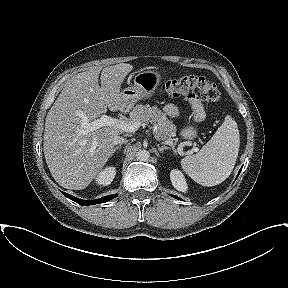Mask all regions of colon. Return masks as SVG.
<instances>
[{
  "mask_svg": "<svg viewBox=\"0 0 288 288\" xmlns=\"http://www.w3.org/2000/svg\"><path fill=\"white\" fill-rule=\"evenodd\" d=\"M162 91L171 97L186 96L198 91L208 102H216L221 97L220 90L214 82L196 75H186L169 80L163 84Z\"/></svg>",
  "mask_w": 288,
  "mask_h": 288,
  "instance_id": "5ec220e1",
  "label": "colon"
}]
</instances>
